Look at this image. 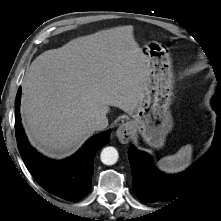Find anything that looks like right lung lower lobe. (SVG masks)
I'll return each instance as SVG.
<instances>
[{
    "label": "right lung lower lobe",
    "mask_w": 221,
    "mask_h": 221,
    "mask_svg": "<svg viewBox=\"0 0 221 221\" xmlns=\"http://www.w3.org/2000/svg\"><path fill=\"white\" fill-rule=\"evenodd\" d=\"M21 87L15 99V131L23 161L38 183L48 192L69 201L83 198L91 189L96 152L109 143L111 130L89 139L72 157L53 161L39 154L27 141L20 120Z\"/></svg>",
    "instance_id": "1"
}]
</instances>
